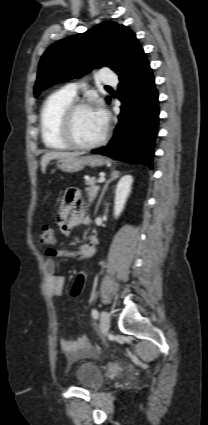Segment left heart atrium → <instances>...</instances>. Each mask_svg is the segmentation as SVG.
<instances>
[{
	"label": "left heart atrium",
	"mask_w": 208,
	"mask_h": 425,
	"mask_svg": "<svg viewBox=\"0 0 208 425\" xmlns=\"http://www.w3.org/2000/svg\"><path fill=\"white\" fill-rule=\"evenodd\" d=\"M96 112L99 115L102 123L105 125L106 124V115H105V113L102 110H97Z\"/></svg>",
	"instance_id": "obj_1"
}]
</instances>
